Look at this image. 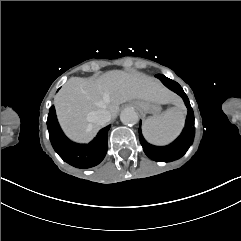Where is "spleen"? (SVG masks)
<instances>
[{"label":"spleen","mask_w":241,"mask_h":241,"mask_svg":"<svg viewBox=\"0 0 241 241\" xmlns=\"http://www.w3.org/2000/svg\"><path fill=\"white\" fill-rule=\"evenodd\" d=\"M183 120V114L179 110L173 107L167 108L144 121V135L152 143L165 144L178 135Z\"/></svg>","instance_id":"1"}]
</instances>
